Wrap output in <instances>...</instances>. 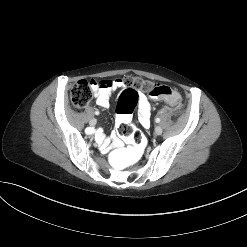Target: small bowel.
I'll return each mask as SVG.
<instances>
[{
    "label": "small bowel",
    "instance_id": "1",
    "mask_svg": "<svg viewBox=\"0 0 247 247\" xmlns=\"http://www.w3.org/2000/svg\"><path fill=\"white\" fill-rule=\"evenodd\" d=\"M125 87V83L122 79L105 80L100 83L94 81V95L97 104L102 108L110 107L111 95L120 88ZM139 123L143 128H149L151 106L147 96L144 93H139ZM96 140L102 150H107L110 140L102 133H97ZM113 144L118 146L120 141L118 139L113 140Z\"/></svg>",
    "mask_w": 247,
    "mask_h": 247
}]
</instances>
